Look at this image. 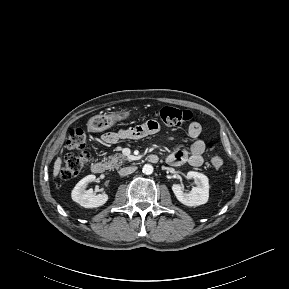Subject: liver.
Instances as JSON below:
<instances>
[{"mask_svg":"<svg viewBox=\"0 0 289 289\" xmlns=\"http://www.w3.org/2000/svg\"><path fill=\"white\" fill-rule=\"evenodd\" d=\"M62 160L58 157L54 163L53 176L57 177L61 169Z\"/></svg>","mask_w":289,"mask_h":289,"instance_id":"1","label":"liver"}]
</instances>
